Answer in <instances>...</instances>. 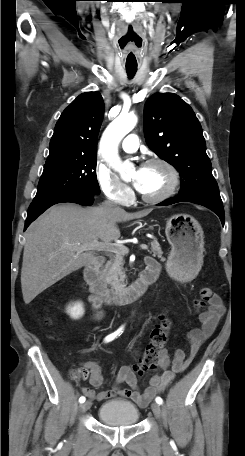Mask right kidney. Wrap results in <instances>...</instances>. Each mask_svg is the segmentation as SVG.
I'll list each match as a JSON object with an SVG mask.
<instances>
[{"label": "right kidney", "instance_id": "obj_1", "mask_svg": "<svg viewBox=\"0 0 245 456\" xmlns=\"http://www.w3.org/2000/svg\"><path fill=\"white\" fill-rule=\"evenodd\" d=\"M66 310H67V313L70 315V317L73 319L81 318L85 312L83 304L81 302H77L72 305H69Z\"/></svg>", "mask_w": 245, "mask_h": 456}]
</instances>
